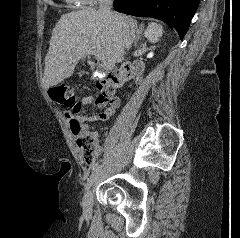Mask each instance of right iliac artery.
I'll list each match as a JSON object with an SVG mask.
<instances>
[{
    "label": "right iliac artery",
    "instance_id": "obj_1",
    "mask_svg": "<svg viewBox=\"0 0 240 238\" xmlns=\"http://www.w3.org/2000/svg\"><path fill=\"white\" fill-rule=\"evenodd\" d=\"M130 148H131L130 150L132 151V150H133V149H132L133 147L131 146ZM131 151L129 152L130 154L132 153ZM129 153L127 154L128 156L130 155ZM100 169H101V166H97V167L94 169V171L92 172L90 178L88 179V182H87V184H86V186H85V190H88V189L91 187V185L93 184V182L96 180Z\"/></svg>",
    "mask_w": 240,
    "mask_h": 238
}]
</instances>
